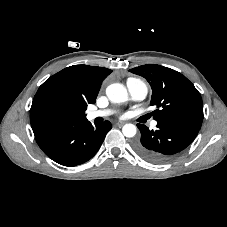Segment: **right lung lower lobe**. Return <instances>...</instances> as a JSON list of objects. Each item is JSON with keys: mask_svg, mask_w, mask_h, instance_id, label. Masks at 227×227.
Listing matches in <instances>:
<instances>
[{"mask_svg": "<svg viewBox=\"0 0 227 227\" xmlns=\"http://www.w3.org/2000/svg\"><path fill=\"white\" fill-rule=\"evenodd\" d=\"M111 124L91 125L86 118L48 129L34 130L43 152L63 166H76L91 159L101 147Z\"/></svg>", "mask_w": 227, "mask_h": 227, "instance_id": "right-lung-lower-lobe-1", "label": "right lung lower lobe"}]
</instances>
